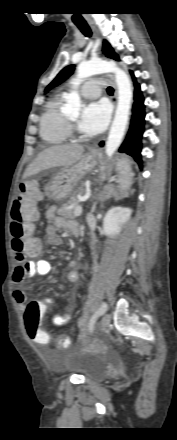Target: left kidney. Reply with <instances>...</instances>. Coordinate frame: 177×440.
Instances as JSON below:
<instances>
[{
  "label": "left kidney",
  "instance_id": "1",
  "mask_svg": "<svg viewBox=\"0 0 177 440\" xmlns=\"http://www.w3.org/2000/svg\"><path fill=\"white\" fill-rule=\"evenodd\" d=\"M127 214V209L121 207H114L108 211L104 218V227L112 235L119 231V227L115 223L119 218L124 219Z\"/></svg>",
  "mask_w": 177,
  "mask_h": 440
}]
</instances>
